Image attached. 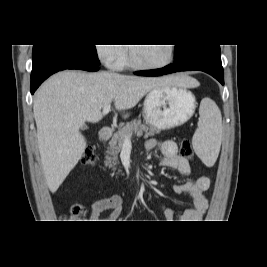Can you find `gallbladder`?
<instances>
[{
	"label": "gallbladder",
	"mask_w": 267,
	"mask_h": 267,
	"mask_svg": "<svg viewBox=\"0 0 267 267\" xmlns=\"http://www.w3.org/2000/svg\"><path fill=\"white\" fill-rule=\"evenodd\" d=\"M88 127L86 126V125H83L82 127H81V129L82 130H85V129H87Z\"/></svg>",
	"instance_id": "1"
}]
</instances>
